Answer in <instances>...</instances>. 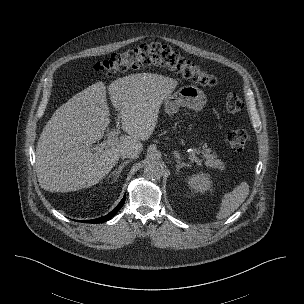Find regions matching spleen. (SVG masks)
Segmentation results:
<instances>
[{
	"instance_id": "obj_1",
	"label": "spleen",
	"mask_w": 304,
	"mask_h": 304,
	"mask_svg": "<svg viewBox=\"0 0 304 304\" xmlns=\"http://www.w3.org/2000/svg\"><path fill=\"white\" fill-rule=\"evenodd\" d=\"M248 194L249 185L246 182H242L235 187L232 192L226 193L222 198V203L216 218L224 219L228 217L245 201Z\"/></svg>"
}]
</instances>
